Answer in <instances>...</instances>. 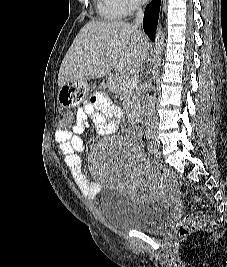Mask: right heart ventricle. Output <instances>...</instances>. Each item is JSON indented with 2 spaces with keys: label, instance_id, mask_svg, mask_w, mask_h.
Segmentation results:
<instances>
[{
  "label": "right heart ventricle",
  "instance_id": "e07e8e85",
  "mask_svg": "<svg viewBox=\"0 0 227 267\" xmlns=\"http://www.w3.org/2000/svg\"><path fill=\"white\" fill-rule=\"evenodd\" d=\"M98 15L104 20H118L123 16L117 0H96Z\"/></svg>",
  "mask_w": 227,
  "mask_h": 267
}]
</instances>
